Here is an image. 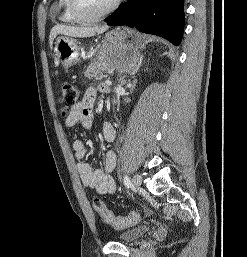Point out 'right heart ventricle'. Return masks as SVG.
<instances>
[{
	"mask_svg": "<svg viewBox=\"0 0 247 257\" xmlns=\"http://www.w3.org/2000/svg\"><path fill=\"white\" fill-rule=\"evenodd\" d=\"M60 4L62 7L61 20L69 23L77 22L70 8V0H60Z\"/></svg>",
	"mask_w": 247,
	"mask_h": 257,
	"instance_id": "obj_1",
	"label": "right heart ventricle"
}]
</instances>
